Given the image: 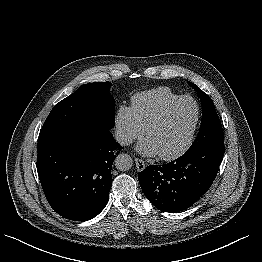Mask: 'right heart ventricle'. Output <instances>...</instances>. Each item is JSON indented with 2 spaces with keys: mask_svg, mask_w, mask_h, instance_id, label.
<instances>
[{
  "mask_svg": "<svg viewBox=\"0 0 262 262\" xmlns=\"http://www.w3.org/2000/svg\"><path fill=\"white\" fill-rule=\"evenodd\" d=\"M181 95L167 87H159L134 95L131 109L139 122L146 129L161 110Z\"/></svg>",
  "mask_w": 262,
  "mask_h": 262,
  "instance_id": "obj_1",
  "label": "right heart ventricle"
}]
</instances>
